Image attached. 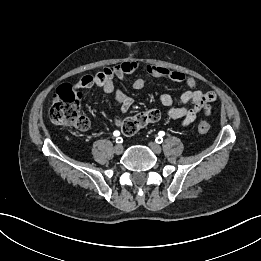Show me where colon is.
Here are the masks:
<instances>
[{
    "label": "colon",
    "instance_id": "colon-1",
    "mask_svg": "<svg viewBox=\"0 0 261 261\" xmlns=\"http://www.w3.org/2000/svg\"><path fill=\"white\" fill-rule=\"evenodd\" d=\"M78 87V85H76ZM81 94L71 84L61 85L53 95L50 107L51 120L62 127L75 128L81 131L89 128V120L81 113ZM162 116L158 109H148L128 116L121 120L120 126L124 135L131 136L147 125L157 122ZM210 130V124L201 121L198 124L200 133H207Z\"/></svg>",
    "mask_w": 261,
    "mask_h": 261
}]
</instances>
